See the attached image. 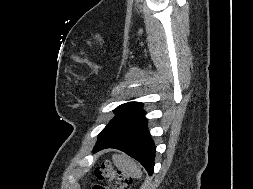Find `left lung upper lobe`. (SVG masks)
<instances>
[{
  "label": "left lung upper lobe",
  "mask_w": 253,
  "mask_h": 189,
  "mask_svg": "<svg viewBox=\"0 0 253 189\" xmlns=\"http://www.w3.org/2000/svg\"><path fill=\"white\" fill-rule=\"evenodd\" d=\"M142 104L138 102H128L118 106L114 112L116 113L115 118L100 132V135L106 134L115 128L129 122L135 117L144 113L141 109Z\"/></svg>",
  "instance_id": "5c2ea615"
}]
</instances>
